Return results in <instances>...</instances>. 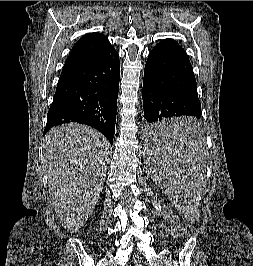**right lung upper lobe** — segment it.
Wrapping results in <instances>:
<instances>
[{
	"label": "right lung upper lobe",
	"instance_id": "obj_1",
	"mask_svg": "<svg viewBox=\"0 0 253 266\" xmlns=\"http://www.w3.org/2000/svg\"><path fill=\"white\" fill-rule=\"evenodd\" d=\"M113 49L108 39L101 33H88L72 48L62 72L68 71L78 65L89 62L106 54Z\"/></svg>",
	"mask_w": 253,
	"mask_h": 266
}]
</instances>
